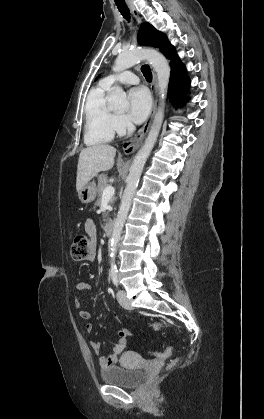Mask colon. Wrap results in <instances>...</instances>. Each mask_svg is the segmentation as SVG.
I'll list each match as a JSON object with an SVG mask.
<instances>
[{
	"instance_id": "5ec220e1",
	"label": "colon",
	"mask_w": 264,
	"mask_h": 419,
	"mask_svg": "<svg viewBox=\"0 0 264 419\" xmlns=\"http://www.w3.org/2000/svg\"><path fill=\"white\" fill-rule=\"evenodd\" d=\"M90 240L89 237L84 234H78L74 237L72 246H71V256L75 261H83L88 259L90 255ZM162 324L159 322H156L153 324V328L155 330H159L162 328ZM173 353V348L168 347L165 350L156 353L155 355L157 357L166 358L171 356ZM177 362V360H173L171 365H174Z\"/></svg>"
}]
</instances>
